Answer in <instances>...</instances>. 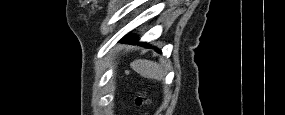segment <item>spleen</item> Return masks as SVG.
Returning a JSON list of instances; mask_svg holds the SVG:
<instances>
[{
    "mask_svg": "<svg viewBox=\"0 0 285 115\" xmlns=\"http://www.w3.org/2000/svg\"><path fill=\"white\" fill-rule=\"evenodd\" d=\"M132 68L144 77L163 80L165 72L161 65L156 62L138 59L131 64Z\"/></svg>",
    "mask_w": 285,
    "mask_h": 115,
    "instance_id": "3e777b00",
    "label": "spleen"
}]
</instances>
